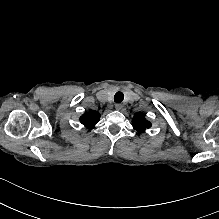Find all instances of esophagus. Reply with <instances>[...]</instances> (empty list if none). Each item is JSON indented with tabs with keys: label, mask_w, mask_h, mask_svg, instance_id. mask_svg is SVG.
Listing matches in <instances>:
<instances>
[{
	"label": "esophagus",
	"mask_w": 219,
	"mask_h": 219,
	"mask_svg": "<svg viewBox=\"0 0 219 219\" xmlns=\"http://www.w3.org/2000/svg\"><path fill=\"white\" fill-rule=\"evenodd\" d=\"M123 108V105L122 104H116L115 105V109L116 110H121Z\"/></svg>",
	"instance_id": "1"
}]
</instances>
